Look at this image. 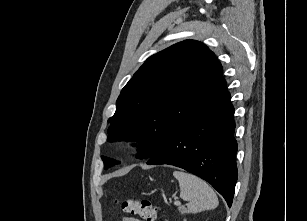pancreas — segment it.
Listing matches in <instances>:
<instances>
[{
	"label": "pancreas",
	"instance_id": "pancreas-1",
	"mask_svg": "<svg viewBox=\"0 0 307 221\" xmlns=\"http://www.w3.org/2000/svg\"><path fill=\"white\" fill-rule=\"evenodd\" d=\"M178 210L180 211L181 214H185L186 213V209L183 206L179 207Z\"/></svg>",
	"mask_w": 307,
	"mask_h": 221
}]
</instances>
